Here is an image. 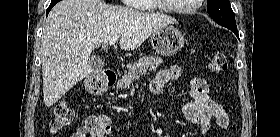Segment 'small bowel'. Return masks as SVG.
I'll return each instance as SVG.
<instances>
[{"instance_id": "small-bowel-1", "label": "small bowel", "mask_w": 280, "mask_h": 137, "mask_svg": "<svg viewBox=\"0 0 280 137\" xmlns=\"http://www.w3.org/2000/svg\"><path fill=\"white\" fill-rule=\"evenodd\" d=\"M183 74L180 66L173 65L168 69L159 72L158 76L151 83V91L155 94L161 93L163 87L169 82H183ZM209 86L205 78L200 76L192 77L188 82V101L183 106L185 118L200 127L202 134H206L213 122L225 129L230 125L231 118L228 112L212 99L209 94ZM100 126L98 132L89 125V120L84 126L79 127L72 137H105L110 136V122L108 115L95 117Z\"/></svg>"}]
</instances>
